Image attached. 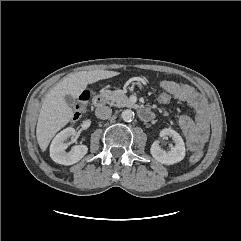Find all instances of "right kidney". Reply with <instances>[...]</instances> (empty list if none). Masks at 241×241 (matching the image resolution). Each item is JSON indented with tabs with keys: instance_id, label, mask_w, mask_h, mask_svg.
<instances>
[{
	"instance_id": "ca27d5eb",
	"label": "right kidney",
	"mask_w": 241,
	"mask_h": 241,
	"mask_svg": "<svg viewBox=\"0 0 241 241\" xmlns=\"http://www.w3.org/2000/svg\"><path fill=\"white\" fill-rule=\"evenodd\" d=\"M75 135V129L68 127L58 133L50 145L51 159L62 165H72L80 161L87 153L86 145L73 146L69 152H66L68 145L65 143L67 138Z\"/></svg>"
}]
</instances>
